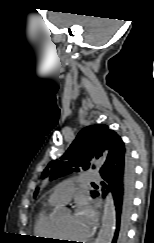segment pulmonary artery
Masks as SVG:
<instances>
[{"label": "pulmonary artery", "instance_id": "obj_1", "mask_svg": "<svg viewBox=\"0 0 154 243\" xmlns=\"http://www.w3.org/2000/svg\"><path fill=\"white\" fill-rule=\"evenodd\" d=\"M99 175L97 172H86L82 174L80 183L86 181H98ZM77 189V184L74 181H66L57 185L51 192L50 199L57 204H65L71 200Z\"/></svg>", "mask_w": 154, "mask_h": 243}]
</instances>
